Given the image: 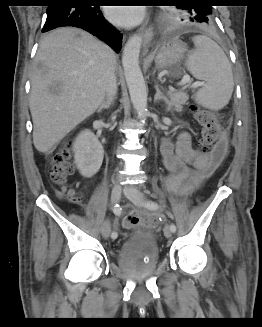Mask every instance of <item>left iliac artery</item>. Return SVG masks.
Wrapping results in <instances>:
<instances>
[{
	"label": "left iliac artery",
	"instance_id": "obj_1",
	"mask_svg": "<svg viewBox=\"0 0 262 327\" xmlns=\"http://www.w3.org/2000/svg\"><path fill=\"white\" fill-rule=\"evenodd\" d=\"M144 205H145V207H147L150 210H156V209H158V204L156 202L152 201V200L145 201L144 202ZM170 230L172 232H175L176 231V226L174 224H171L170 225Z\"/></svg>",
	"mask_w": 262,
	"mask_h": 327
}]
</instances>
